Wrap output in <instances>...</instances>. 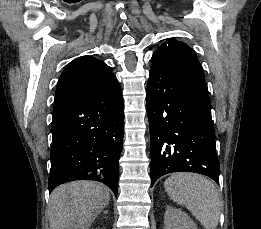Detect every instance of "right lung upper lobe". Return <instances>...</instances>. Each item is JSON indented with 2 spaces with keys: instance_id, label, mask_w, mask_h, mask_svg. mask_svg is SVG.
I'll use <instances>...</instances> for the list:
<instances>
[{
  "instance_id": "obj_1",
  "label": "right lung upper lobe",
  "mask_w": 261,
  "mask_h": 229,
  "mask_svg": "<svg viewBox=\"0 0 261 229\" xmlns=\"http://www.w3.org/2000/svg\"><path fill=\"white\" fill-rule=\"evenodd\" d=\"M115 76L109 66L92 56H82L64 69L55 93L53 117L95 92Z\"/></svg>"
}]
</instances>
